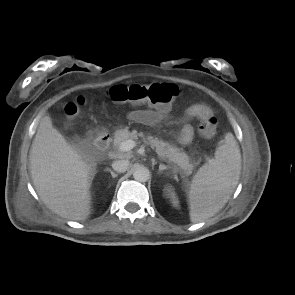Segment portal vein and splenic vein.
I'll use <instances>...</instances> for the list:
<instances>
[{"label":"portal vein and splenic vein","instance_id":"portal-vein-and-splenic-vein-1","mask_svg":"<svg viewBox=\"0 0 295 295\" xmlns=\"http://www.w3.org/2000/svg\"><path fill=\"white\" fill-rule=\"evenodd\" d=\"M137 143L133 140V139H128L124 142H122L118 149L121 152H127L130 151L131 149H133L134 147H136Z\"/></svg>","mask_w":295,"mask_h":295}]
</instances>
